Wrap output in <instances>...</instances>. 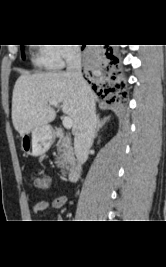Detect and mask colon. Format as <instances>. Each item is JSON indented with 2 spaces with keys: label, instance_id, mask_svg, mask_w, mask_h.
Segmentation results:
<instances>
[{
  "label": "colon",
  "instance_id": "colon-1",
  "mask_svg": "<svg viewBox=\"0 0 166 267\" xmlns=\"http://www.w3.org/2000/svg\"><path fill=\"white\" fill-rule=\"evenodd\" d=\"M30 178L33 179L34 177L31 176ZM35 180H36V188L47 189L49 187L50 180L48 177L42 176L36 178Z\"/></svg>",
  "mask_w": 166,
  "mask_h": 267
}]
</instances>
